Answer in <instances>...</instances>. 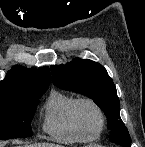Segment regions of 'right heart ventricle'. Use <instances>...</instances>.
I'll list each match as a JSON object with an SVG mask.
<instances>
[{"instance_id":"right-heart-ventricle-1","label":"right heart ventricle","mask_w":145,"mask_h":147,"mask_svg":"<svg viewBox=\"0 0 145 147\" xmlns=\"http://www.w3.org/2000/svg\"><path fill=\"white\" fill-rule=\"evenodd\" d=\"M79 98L75 95L53 90L43 108V131L63 143L89 142L98 136L83 132L75 120V107Z\"/></svg>"}]
</instances>
